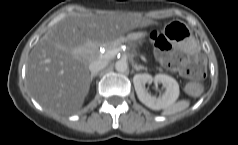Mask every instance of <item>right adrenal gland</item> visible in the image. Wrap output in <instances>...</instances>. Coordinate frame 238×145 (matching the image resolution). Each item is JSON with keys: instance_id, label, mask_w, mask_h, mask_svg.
Instances as JSON below:
<instances>
[{"instance_id": "obj_1", "label": "right adrenal gland", "mask_w": 238, "mask_h": 145, "mask_svg": "<svg viewBox=\"0 0 238 145\" xmlns=\"http://www.w3.org/2000/svg\"><path fill=\"white\" fill-rule=\"evenodd\" d=\"M96 76H97V74H91V76H90V82H92L93 78L96 77Z\"/></svg>"}]
</instances>
